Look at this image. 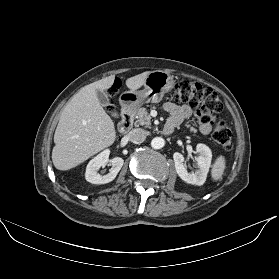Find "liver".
<instances>
[{
  "mask_svg": "<svg viewBox=\"0 0 279 279\" xmlns=\"http://www.w3.org/2000/svg\"><path fill=\"white\" fill-rule=\"evenodd\" d=\"M150 73L128 78L127 87L136 91ZM114 79L111 75L84 86L66 104L54 134L52 161L56 169L70 170L115 142L114 123L96 95L97 90L109 89Z\"/></svg>",
  "mask_w": 279,
  "mask_h": 279,
  "instance_id": "6515ba94",
  "label": "liver"
}]
</instances>
